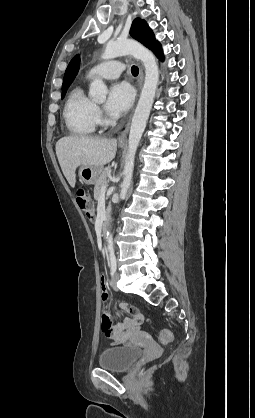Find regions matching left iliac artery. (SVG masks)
I'll return each mask as SVG.
<instances>
[{
    "mask_svg": "<svg viewBox=\"0 0 255 418\" xmlns=\"http://www.w3.org/2000/svg\"><path fill=\"white\" fill-rule=\"evenodd\" d=\"M117 269V261L114 255L110 256V274L113 276Z\"/></svg>",
    "mask_w": 255,
    "mask_h": 418,
    "instance_id": "obj_1",
    "label": "left iliac artery"
}]
</instances>
